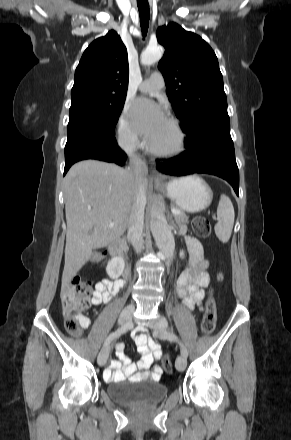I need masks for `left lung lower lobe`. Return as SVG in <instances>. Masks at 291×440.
<instances>
[{"mask_svg":"<svg viewBox=\"0 0 291 440\" xmlns=\"http://www.w3.org/2000/svg\"><path fill=\"white\" fill-rule=\"evenodd\" d=\"M185 152L169 163H158L156 168L171 176L207 173L227 180L239 196V171L235 160L230 122L214 123L196 136L185 139Z\"/></svg>","mask_w":291,"mask_h":440,"instance_id":"0a47b994","label":"left lung lower lobe"}]
</instances>
